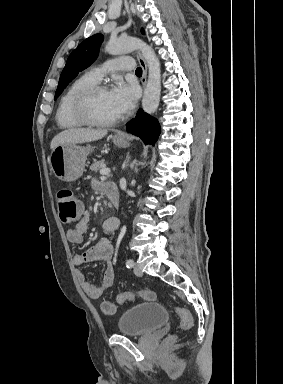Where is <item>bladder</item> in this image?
Listing matches in <instances>:
<instances>
[{
  "mask_svg": "<svg viewBox=\"0 0 283 384\" xmlns=\"http://www.w3.org/2000/svg\"><path fill=\"white\" fill-rule=\"evenodd\" d=\"M168 322V312L160 302H141L123 310L117 322L120 335H149Z\"/></svg>",
  "mask_w": 283,
  "mask_h": 384,
  "instance_id": "bladder-1",
  "label": "bladder"
}]
</instances>
